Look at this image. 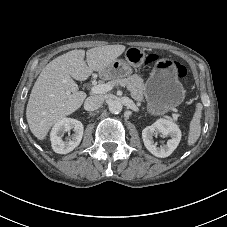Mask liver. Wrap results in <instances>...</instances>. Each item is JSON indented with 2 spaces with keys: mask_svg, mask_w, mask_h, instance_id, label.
Here are the masks:
<instances>
[{
  "mask_svg": "<svg viewBox=\"0 0 227 227\" xmlns=\"http://www.w3.org/2000/svg\"><path fill=\"white\" fill-rule=\"evenodd\" d=\"M124 51V45H106L87 50L86 60L84 50H72L49 62L37 78L26 108L33 135L45 139L53 125L81 107L86 93L78 91L73 79H88L93 71H102Z\"/></svg>",
  "mask_w": 227,
  "mask_h": 227,
  "instance_id": "liver-1",
  "label": "liver"
}]
</instances>
